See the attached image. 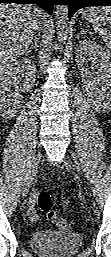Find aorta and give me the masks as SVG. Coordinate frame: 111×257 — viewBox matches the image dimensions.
Listing matches in <instances>:
<instances>
[{
  "mask_svg": "<svg viewBox=\"0 0 111 257\" xmlns=\"http://www.w3.org/2000/svg\"><path fill=\"white\" fill-rule=\"evenodd\" d=\"M56 15L58 25L65 27L68 22V7L66 5H58ZM60 36H62V34H60Z\"/></svg>",
  "mask_w": 111,
  "mask_h": 257,
  "instance_id": "1",
  "label": "aorta"
}]
</instances>
